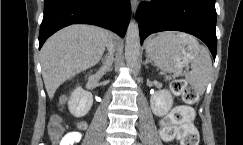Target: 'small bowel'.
Instances as JSON below:
<instances>
[{
    "label": "small bowel",
    "instance_id": "small-bowel-1",
    "mask_svg": "<svg viewBox=\"0 0 243 145\" xmlns=\"http://www.w3.org/2000/svg\"><path fill=\"white\" fill-rule=\"evenodd\" d=\"M82 138V134L78 131L68 132L60 141L59 145H74Z\"/></svg>",
    "mask_w": 243,
    "mask_h": 145
}]
</instances>
